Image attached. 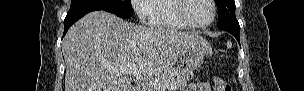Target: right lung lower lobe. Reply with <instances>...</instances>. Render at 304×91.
<instances>
[{"instance_id":"98d812e1","label":"right lung lower lobe","mask_w":304,"mask_h":91,"mask_svg":"<svg viewBox=\"0 0 304 91\" xmlns=\"http://www.w3.org/2000/svg\"><path fill=\"white\" fill-rule=\"evenodd\" d=\"M103 10L112 13V11L108 7L100 6L98 4L84 2L72 4L67 13V16L64 20V34L67 33L68 29L73 25L77 20L92 11Z\"/></svg>"}]
</instances>
